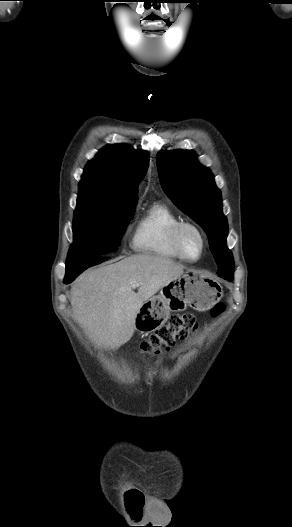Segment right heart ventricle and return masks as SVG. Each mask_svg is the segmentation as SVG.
Returning a JSON list of instances; mask_svg holds the SVG:
<instances>
[{
	"label": "right heart ventricle",
	"instance_id": "1",
	"mask_svg": "<svg viewBox=\"0 0 292 527\" xmlns=\"http://www.w3.org/2000/svg\"><path fill=\"white\" fill-rule=\"evenodd\" d=\"M183 221L169 205L157 202L138 219L134 235L135 251L168 259H180L172 243L174 227Z\"/></svg>",
	"mask_w": 292,
	"mask_h": 527
}]
</instances>
